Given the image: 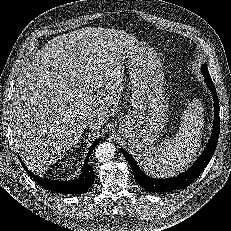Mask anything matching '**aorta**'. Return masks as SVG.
Returning <instances> with one entry per match:
<instances>
[{"mask_svg":"<svg viewBox=\"0 0 231 231\" xmlns=\"http://www.w3.org/2000/svg\"><path fill=\"white\" fill-rule=\"evenodd\" d=\"M115 154V146L110 142L99 144L95 150V158L99 162H106L110 160Z\"/></svg>","mask_w":231,"mask_h":231,"instance_id":"obj_1","label":"aorta"}]
</instances>
